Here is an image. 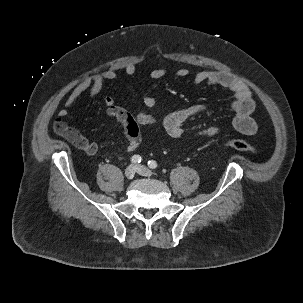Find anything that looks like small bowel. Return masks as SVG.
I'll return each instance as SVG.
<instances>
[{
    "mask_svg": "<svg viewBox=\"0 0 303 303\" xmlns=\"http://www.w3.org/2000/svg\"><path fill=\"white\" fill-rule=\"evenodd\" d=\"M123 70L128 75H134L136 73V67L132 63L124 66ZM166 74V69L156 68L151 70L148 76L151 79H160ZM189 74L190 72L187 68H181L176 71L175 76L176 78H186ZM116 77V71L108 69L81 80L69 95L65 107L59 111L58 117L55 120L54 129L56 133L87 155L93 156L98 153L99 147L97 143L90 141L76 128L67 125L64 119L68 115L69 109L83 93L89 90L90 95L94 97L101 92L105 82L114 80ZM193 81L195 84L205 83L230 91L233 96L231 109L234 113V128L244 135H253L256 133L257 124L252 118L255 103L252 99L251 91L246 84L238 81L229 73L212 70H203L196 73ZM143 103L147 109H151L155 106L156 100L152 95L145 94ZM104 104L106 107V115L117 120L123 126L125 136L128 140L126 147L127 152L135 151L141 143L142 128L153 125L156 122L155 116L147 110H143L137 115H132L124 108L117 106L114 98L109 95L104 98ZM206 111L207 107L205 105H194L173 111L165 117L164 128L169 136L179 138L187 132L185 123L190 118ZM219 133V127L211 126L196 130L193 132V135L195 137H212Z\"/></svg>",
    "mask_w": 303,
    "mask_h": 303,
    "instance_id": "small-bowel-1",
    "label": "small bowel"
}]
</instances>
